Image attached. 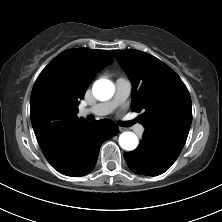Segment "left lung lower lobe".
Returning <instances> with one entry per match:
<instances>
[{"label": "left lung lower lobe", "mask_w": 222, "mask_h": 222, "mask_svg": "<svg viewBox=\"0 0 222 222\" xmlns=\"http://www.w3.org/2000/svg\"><path fill=\"white\" fill-rule=\"evenodd\" d=\"M179 154L180 152L171 147L163 137L144 132L138 148L124 153V157L134 173L156 176L168 170Z\"/></svg>", "instance_id": "0a47b994"}]
</instances>
